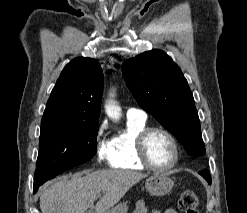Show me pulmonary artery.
Returning a JSON list of instances; mask_svg holds the SVG:
<instances>
[{
    "instance_id": "obj_1",
    "label": "pulmonary artery",
    "mask_w": 247,
    "mask_h": 213,
    "mask_svg": "<svg viewBox=\"0 0 247 213\" xmlns=\"http://www.w3.org/2000/svg\"><path fill=\"white\" fill-rule=\"evenodd\" d=\"M126 116L128 119H138V120H146L147 118L146 112L138 108H129L127 110Z\"/></svg>"
}]
</instances>
